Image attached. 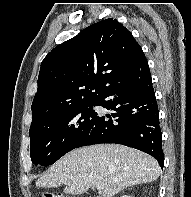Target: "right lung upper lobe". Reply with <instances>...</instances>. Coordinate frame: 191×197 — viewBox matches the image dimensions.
Listing matches in <instances>:
<instances>
[{"instance_id":"1","label":"right lung upper lobe","mask_w":191,"mask_h":197,"mask_svg":"<svg viewBox=\"0 0 191 197\" xmlns=\"http://www.w3.org/2000/svg\"><path fill=\"white\" fill-rule=\"evenodd\" d=\"M147 65L142 48L117 20L85 28L42 61L30 129L73 106L97 101L107 88Z\"/></svg>"}]
</instances>
